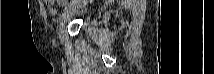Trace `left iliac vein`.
Returning a JSON list of instances; mask_svg holds the SVG:
<instances>
[{"label": "left iliac vein", "instance_id": "left-iliac-vein-1", "mask_svg": "<svg viewBox=\"0 0 214 74\" xmlns=\"http://www.w3.org/2000/svg\"><path fill=\"white\" fill-rule=\"evenodd\" d=\"M86 4L85 1H78V3L74 6H72L69 10H67L60 19V25H59V32H60V38H63V32L66 23L70 20V18L84 5Z\"/></svg>", "mask_w": 214, "mask_h": 74}]
</instances>
